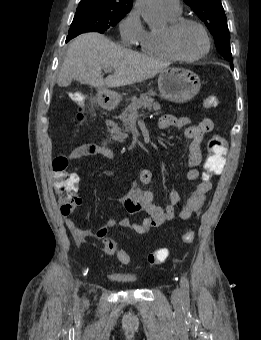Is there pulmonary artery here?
Wrapping results in <instances>:
<instances>
[{"label":"pulmonary artery","mask_w":261,"mask_h":340,"mask_svg":"<svg viewBox=\"0 0 261 340\" xmlns=\"http://www.w3.org/2000/svg\"><path fill=\"white\" fill-rule=\"evenodd\" d=\"M160 6L170 14H180L181 12L180 0H160Z\"/></svg>","instance_id":"1"}]
</instances>
